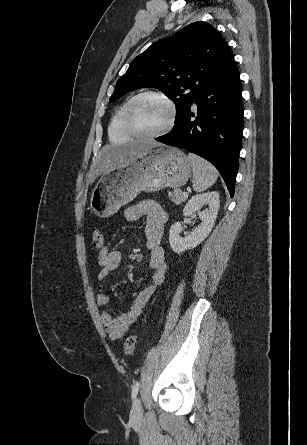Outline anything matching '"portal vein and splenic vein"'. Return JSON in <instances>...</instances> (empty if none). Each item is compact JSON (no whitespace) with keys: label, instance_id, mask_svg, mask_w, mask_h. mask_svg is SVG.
Here are the masks:
<instances>
[{"label":"portal vein and splenic vein","instance_id":"1","mask_svg":"<svg viewBox=\"0 0 307 445\" xmlns=\"http://www.w3.org/2000/svg\"><path fill=\"white\" fill-rule=\"evenodd\" d=\"M187 190H191V188H187ZM183 196H188V192H183Z\"/></svg>","mask_w":307,"mask_h":445}]
</instances>
